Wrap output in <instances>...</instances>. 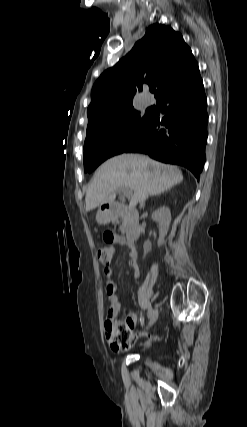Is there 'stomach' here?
<instances>
[{
    "mask_svg": "<svg viewBox=\"0 0 247 427\" xmlns=\"http://www.w3.org/2000/svg\"><path fill=\"white\" fill-rule=\"evenodd\" d=\"M96 220L100 224H107L112 220V214L105 210H99L96 215Z\"/></svg>",
    "mask_w": 247,
    "mask_h": 427,
    "instance_id": "stomach-1",
    "label": "stomach"
}]
</instances>
